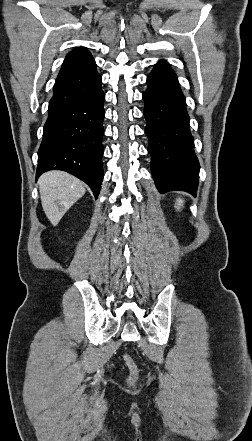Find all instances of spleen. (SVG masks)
<instances>
[{"label": "spleen", "mask_w": 252, "mask_h": 441, "mask_svg": "<svg viewBox=\"0 0 252 441\" xmlns=\"http://www.w3.org/2000/svg\"><path fill=\"white\" fill-rule=\"evenodd\" d=\"M182 206H183V200L180 199V198H178V199L176 200V206H175V208H176L177 210H179Z\"/></svg>", "instance_id": "3e777b00"}]
</instances>
